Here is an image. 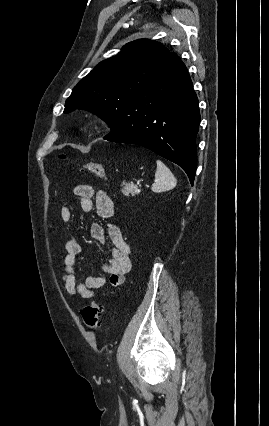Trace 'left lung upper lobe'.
<instances>
[{
	"label": "left lung upper lobe",
	"mask_w": 269,
	"mask_h": 426,
	"mask_svg": "<svg viewBox=\"0 0 269 426\" xmlns=\"http://www.w3.org/2000/svg\"><path fill=\"white\" fill-rule=\"evenodd\" d=\"M170 52L161 43L139 39L123 46L114 57L100 62L84 77L66 100L64 113L89 110L111 127L110 136L124 119L132 97L148 88Z\"/></svg>",
	"instance_id": "obj_1"
}]
</instances>
